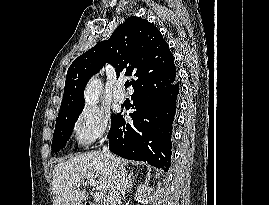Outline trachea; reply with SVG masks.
Instances as JSON below:
<instances>
[{"label":"trachea","instance_id":"1","mask_svg":"<svg viewBox=\"0 0 269 205\" xmlns=\"http://www.w3.org/2000/svg\"><path fill=\"white\" fill-rule=\"evenodd\" d=\"M129 86V83H125V88H127Z\"/></svg>","mask_w":269,"mask_h":205}]
</instances>
